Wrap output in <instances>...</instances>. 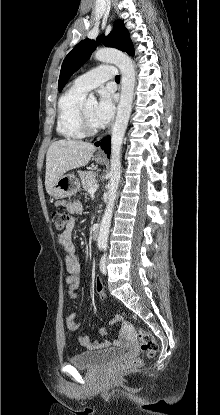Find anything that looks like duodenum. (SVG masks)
<instances>
[{
	"mask_svg": "<svg viewBox=\"0 0 220 415\" xmlns=\"http://www.w3.org/2000/svg\"><path fill=\"white\" fill-rule=\"evenodd\" d=\"M99 231H100V229H99V224H95V225H94V227H93V230H92V236H93L94 238H98V236H99Z\"/></svg>",
	"mask_w": 220,
	"mask_h": 415,
	"instance_id": "obj_1",
	"label": "duodenum"
}]
</instances>
